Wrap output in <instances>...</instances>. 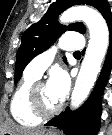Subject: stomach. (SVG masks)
<instances>
[{
  "label": "stomach",
  "mask_w": 112,
  "mask_h": 135,
  "mask_svg": "<svg viewBox=\"0 0 112 135\" xmlns=\"http://www.w3.org/2000/svg\"><path fill=\"white\" fill-rule=\"evenodd\" d=\"M5 134H9V133H4ZM47 135H58L56 132H49Z\"/></svg>",
  "instance_id": "obj_1"
}]
</instances>
